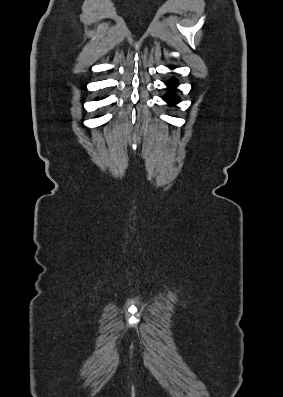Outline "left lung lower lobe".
<instances>
[{
  "label": "left lung lower lobe",
  "instance_id": "obj_1",
  "mask_svg": "<svg viewBox=\"0 0 283 397\" xmlns=\"http://www.w3.org/2000/svg\"><path fill=\"white\" fill-rule=\"evenodd\" d=\"M171 68H174V67H171ZM165 84L168 86L169 90H173V88L178 86L179 83L176 79H170ZM163 100L171 105H174V104H177L178 102H180V98L178 96L174 95L173 92L167 93V95L165 97H163Z\"/></svg>",
  "mask_w": 283,
  "mask_h": 397
}]
</instances>
